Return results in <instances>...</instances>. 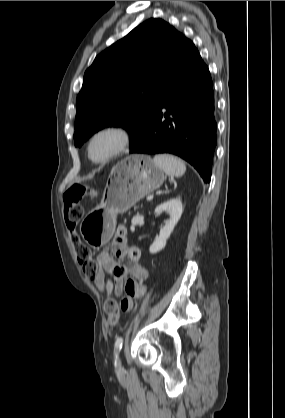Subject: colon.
<instances>
[{
	"label": "colon",
	"mask_w": 285,
	"mask_h": 418,
	"mask_svg": "<svg viewBox=\"0 0 285 418\" xmlns=\"http://www.w3.org/2000/svg\"><path fill=\"white\" fill-rule=\"evenodd\" d=\"M83 197V192L78 186L71 187L64 194V220L68 230L69 239L73 245L78 263L83 269V272L90 278L97 274V264L92 259L91 250L82 242L77 226L82 216V209L80 202ZM118 231L124 232V229ZM119 304L114 298H109L104 304V310L107 315L109 325H114L119 320Z\"/></svg>",
	"instance_id": "obj_1"
}]
</instances>
